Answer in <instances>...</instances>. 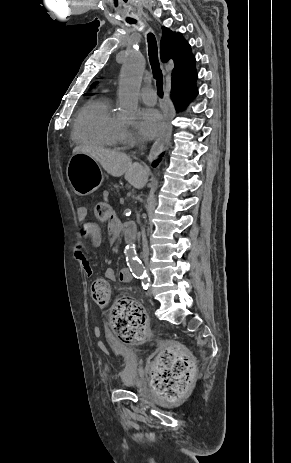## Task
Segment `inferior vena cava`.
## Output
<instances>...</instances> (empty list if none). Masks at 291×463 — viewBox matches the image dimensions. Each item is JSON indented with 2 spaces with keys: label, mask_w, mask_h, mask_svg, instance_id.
I'll return each mask as SVG.
<instances>
[{
  "label": "inferior vena cava",
  "mask_w": 291,
  "mask_h": 463,
  "mask_svg": "<svg viewBox=\"0 0 291 463\" xmlns=\"http://www.w3.org/2000/svg\"><path fill=\"white\" fill-rule=\"evenodd\" d=\"M142 246H143V256L145 259H147L149 256V247H148V242L146 239L144 228H142Z\"/></svg>",
  "instance_id": "1"
}]
</instances>
